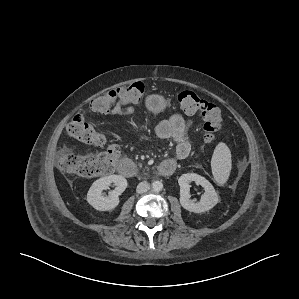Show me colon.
<instances>
[{"label": "colon", "instance_id": "colon-1", "mask_svg": "<svg viewBox=\"0 0 299 299\" xmlns=\"http://www.w3.org/2000/svg\"><path fill=\"white\" fill-rule=\"evenodd\" d=\"M146 87L142 82L112 90L105 95L95 98L91 102V109L98 113H110L118 105L140 102L145 94ZM178 101L181 109L187 114H200L203 118L205 141L213 143L217 133L222 128L220 108L201 97L195 92L185 90L179 93ZM68 134L74 139L88 145L103 147L106 150L97 154H73L64 152L59 160V168L69 174L84 178L107 175L114 171L121 155L117 144H108L106 135L81 115H75L67 126ZM240 165H244L242 161Z\"/></svg>", "mask_w": 299, "mask_h": 299}]
</instances>
